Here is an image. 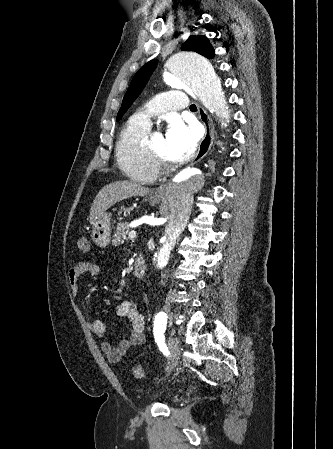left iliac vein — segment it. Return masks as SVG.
Here are the masks:
<instances>
[{
    "label": "left iliac vein",
    "instance_id": "4c4485c4",
    "mask_svg": "<svg viewBox=\"0 0 333 449\" xmlns=\"http://www.w3.org/2000/svg\"><path fill=\"white\" fill-rule=\"evenodd\" d=\"M168 345H169L170 351L172 353L173 361H174V364L172 366V368H173L174 365L178 362L180 355H181V346H180L179 337L170 336L168 339Z\"/></svg>",
    "mask_w": 333,
    "mask_h": 449
}]
</instances>
